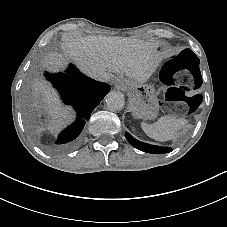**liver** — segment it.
<instances>
[{"instance_id":"1","label":"liver","mask_w":227,"mask_h":227,"mask_svg":"<svg viewBox=\"0 0 227 227\" xmlns=\"http://www.w3.org/2000/svg\"><path fill=\"white\" fill-rule=\"evenodd\" d=\"M63 50L76 66L87 76L98 79L113 73L125 74L138 83H145L157 68L161 57L155 50L154 43L129 37L80 36L68 38L63 43ZM61 55L52 54L45 60V67L57 72L64 66ZM36 91L44 95L47 110L56 117H70L68 108L60 107V100L50 84L36 82ZM58 121L49 127L55 130L62 125Z\"/></svg>"}]
</instances>
